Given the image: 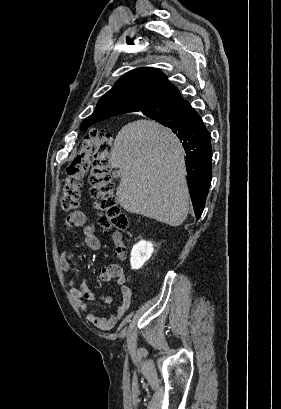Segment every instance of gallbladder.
Listing matches in <instances>:
<instances>
[{
    "label": "gallbladder",
    "instance_id": "1",
    "mask_svg": "<svg viewBox=\"0 0 281 409\" xmlns=\"http://www.w3.org/2000/svg\"><path fill=\"white\" fill-rule=\"evenodd\" d=\"M114 176H119V172L118 170H115V172H113Z\"/></svg>",
    "mask_w": 281,
    "mask_h": 409
}]
</instances>
